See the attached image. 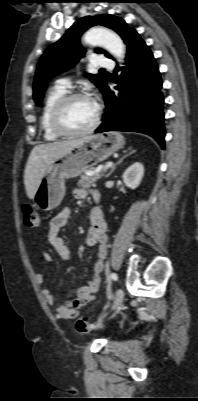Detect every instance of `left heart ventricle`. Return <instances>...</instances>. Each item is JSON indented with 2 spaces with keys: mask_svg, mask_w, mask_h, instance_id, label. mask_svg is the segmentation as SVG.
Returning a JSON list of instances; mask_svg holds the SVG:
<instances>
[{
  "mask_svg": "<svg viewBox=\"0 0 198 401\" xmlns=\"http://www.w3.org/2000/svg\"><path fill=\"white\" fill-rule=\"evenodd\" d=\"M96 103L90 98L72 101L64 113V124L71 130H82L89 127L95 119Z\"/></svg>",
  "mask_w": 198,
  "mask_h": 401,
  "instance_id": "obj_1",
  "label": "left heart ventricle"
}]
</instances>
